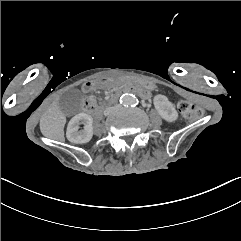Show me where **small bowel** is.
Segmentation results:
<instances>
[{
    "label": "small bowel",
    "instance_id": "1",
    "mask_svg": "<svg viewBox=\"0 0 241 241\" xmlns=\"http://www.w3.org/2000/svg\"><path fill=\"white\" fill-rule=\"evenodd\" d=\"M110 82H111L110 79L106 77V78H104V79H101V84H100V85H103V84H104V85L107 86V85L110 84ZM100 85H99V86H100ZM90 88H91V84H90V83H87V84H86V87L83 88V91H84V92H88V91L90 90ZM90 98H92V97L89 96V99L86 100V102H85V103H86V104H85L86 106H85V108H84L85 111L88 112V113L92 111V109H93L92 107H93V105H94V104H93V103H94L93 100L90 99Z\"/></svg>",
    "mask_w": 241,
    "mask_h": 241
}]
</instances>
